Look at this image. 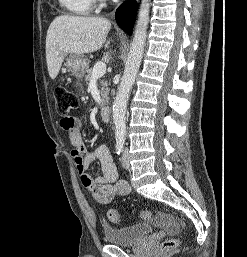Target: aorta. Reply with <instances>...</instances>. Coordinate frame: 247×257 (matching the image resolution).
Wrapping results in <instances>:
<instances>
[{
    "instance_id": "obj_1",
    "label": "aorta",
    "mask_w": 247,
    "mask_h": 257,
    "mask_svg": "<svg viewBox=\"0 0 247 257\" xmlns=\"http://www.w3.org/2000/svg\"><path fill=\"white\" fill-rule=\"evenodd\" d=\"M151 0H142L138 20L135 26L133 40L125 63L124 74L119 90L113 103V123L115 126V136L118 140H123L126 136V109L130 91L134 85L138 73L147 37Z\"/></svg>"
}]
</instances>
